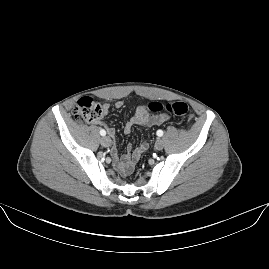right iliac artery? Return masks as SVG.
Wrapping results in <instances>:
<instances>
[{
    "label": "right iliac artery",
    "instance_id": "obj_1",
    "mask_svg": "<svg viewBox=\"0 0 269 269\" xmlns=\"http://www.w3.org/2000/svg\"><path fill=\"white\" fill-rule=\"evenodd\" d=\"M100 135H101V136H105V135H106V132H105L104 129H101V130H100Z\"/></svg>",
    "mask_w": 269,
    "mask_h": 269
}]
</instances>
